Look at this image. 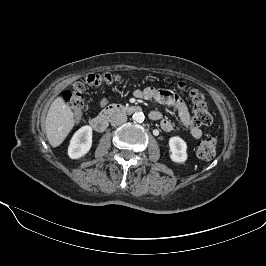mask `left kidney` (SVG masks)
Here are the masks:
<instances>
[{
	"label": "left kidney",
	"mask_w": 266,
	"mask_h": 266,
	"mask_svg": "<svg viewBox=\"0 0 266 266\" xmlns=\"http://www.w3.org/2000/svg\"><path fill=\"white\" fill-rule=\"evenodd\" d=\"M170 158L173 162L184 163L187 160V145L186 142L174 136L169 139Z\"/></svg>",
	"instance_id": "left-kidney-1"
}]
</instances>
